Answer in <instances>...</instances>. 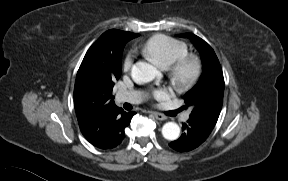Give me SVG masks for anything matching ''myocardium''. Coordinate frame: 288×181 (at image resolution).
<instances>
[{"label":"myocardium","mask_w":288,"mask_h":181,"mask_svg":"<svg viewBox=\"0 0 288 181\" xmlns=\"http://www.w3.org/2000/svg\"><path fill=\"white\" fill-rule=\"evenodd\" d=\"M202 63L193 55H185L168 67V75L173 85L178 89H188L200 79Z\"/></svg>","instance_id":"myocardium-1"}]
</instances>
